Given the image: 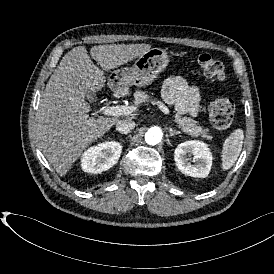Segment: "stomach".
I'll use <instances>...</instances> for the list:
<instances>
[{"label": "stomach", "mask_w": 274, "mask_h": 274, "mask_svg": "<svg viewBox=\"0 0 274 274\" xmlns=\"http://www.w3.org/2000/svg\"><path fill=\"white\" fill-rule=\"evenodd\" d=\"M168 63L169 56L165 50L151 48L140 55L128 71H113L108 86L118 94L127 91L131 85L137 87L147 86L166 68Z\"/></svg>", "instance_id": "1"}]
</instances>
